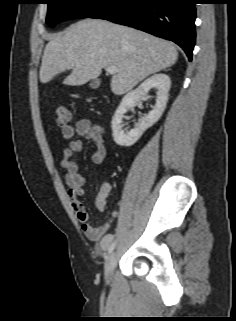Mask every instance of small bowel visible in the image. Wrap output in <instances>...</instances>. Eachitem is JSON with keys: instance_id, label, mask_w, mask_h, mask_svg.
I'll return each mask as SVG.
<instances>
[{"instance_id": "obj_1", "label": "small bowel", "mask_w": 236, "mask_h": 321, "mask_svg": "<svg viewBox=\"0 0 236 321\" xmlns=\"http://www.w3.org/2000/svg\"><path fill=\"white\" fill-rule=\"evenodd\" d=\"M104 129L88 118L78 120L75 124H67L62 127V135L67 144L63 150L61 167L64 170L65 181L68 186V197L70 205L75 212L77 219L82 225L84 234L90 240H99L100 247L104 250L110 243V237L106 235L108 229L117 217V210H110L107 220L101 225H94L90 221L89 214L79 199L83 193L87 177L79 171L77 163L73 160V155L82 151V138L91 140L96 148L92 156L94 164H101L106 156V143L103 137ZM111 192L109 182H103L99 189L92 194L97 209L101 212L108 210L107 197Z\"/></svg>"}]
</instances>
